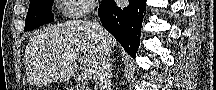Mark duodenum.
Masks as SVG:
<instances>
[{
	"label": "duodenum",
	"instance_id": "obj_1",
	"mask_svg": "<svg viewBox=\"0 0 216 90\" xmlns=\"http://www.w3.org/2000/svg\"><path fill=\"white\" fill-rule=\"evenodd\" d=\"M71 90H86L85 87H72Z\"/></svg>",
	"mask_w": 216,
	"mask_h": 90
}]
</instances>
